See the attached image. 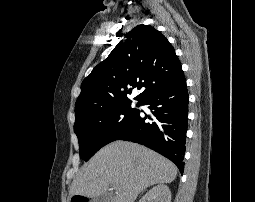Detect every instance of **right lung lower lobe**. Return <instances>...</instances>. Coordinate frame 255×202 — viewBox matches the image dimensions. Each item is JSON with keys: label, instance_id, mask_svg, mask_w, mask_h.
Wrapping results in <instances>:
<instances>
[{"label": "right lung lower lobe", "instance_id": "right-lung-lower-lobe-1", "mask_svg": "<svg viewBox=\"0 0 255 202\" xmlns=\"http://www.w3.org/2000/svg\"><path fill=\"white\" fill-rule=\"evenodd\" d=\"M188 103L185 79L147 96L140 105L153 110V117L139 111L134 122L116 140L136 142L153 149L173 161L183 174ZM146 119L153 122H146Z\"/></svg>", "mask_w": 255, "mask_h": 202}]
</instances>
